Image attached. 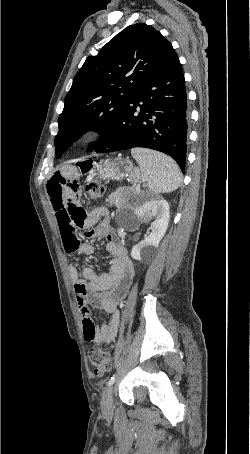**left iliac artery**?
Instances as JSON below:
<instances>
[{
	"instance_id": "obj_1",
	"label": "left iliac artery",
	"mask_w": 250,
	"mask_h": 454,
	"mask_svg": "<svg viewBox=\"0 0 250 454\" xmlns=\"http://www.w3.org/2000/svg\"><path fill=\"white\" fill-rule=\"evenodd\" d=\"M115 382V375H113L107 382V386H111Z\"/></svg>"
}]
</instances>
